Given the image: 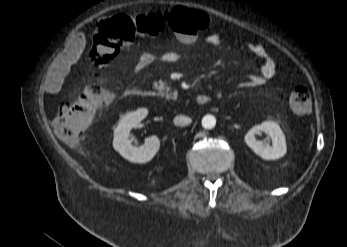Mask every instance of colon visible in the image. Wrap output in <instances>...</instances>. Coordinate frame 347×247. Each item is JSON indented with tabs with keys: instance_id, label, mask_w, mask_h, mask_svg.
<instances>
[{
	"instance_id": "colon-1",
	"label": "colon",
	"mask_w": 347,
	"mask_h": 247,
	"mask_svg": "<svg viewBox=\"0 0 347 247\" xmlns=\"http://www.w3.org/2000/svg\"><path fill=\"white\" fill-rule=\"evenodd\" d=\"M208 22L204 12L185 7L138 16L119 13L98 24L92 60L96 66L106 67L137 36H156L166 28L176 32L182 41L192 42L207 27ZM110 101L111 96L105 88L98 83H91L79 99L59 106L54 125L56 133L62 139L78 137L91 126L98 109ZM289 102L294 111L308 113L311 108L309 90L302 85L296 86L290 94Z\"/></svg>"
}]
</instances>
